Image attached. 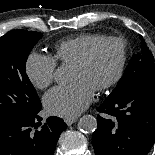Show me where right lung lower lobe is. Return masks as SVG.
<instances>
[{
	"label": "right lung lower lobe",
	"mask_w": 155,
	"mask_h": 155,
	"mask_svg": "<svg viewBox=\"0 0 155 155\" xmlns=\"http://www.w3.org/2000/svg\"><path fill=\"white\" fill-rule=\"evenodd\" d=\"M39 119L35 114L26 120L0 121V155H53L67 125L58 117H49L40 130L33 131Z\"/></svg>",
	"instance_id": "98d812e1"
}]
</instances>
